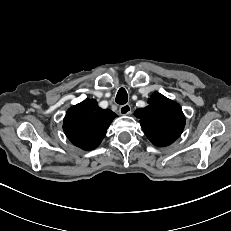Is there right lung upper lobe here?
<instances>
[{
	"label": "right lung upper lobe",
	"instance_id": "obj_1",
	"mask_svg": "<svg viewBox=\"0 0 231 231\" xmlns=\"http://www.w3.org/2000/svg\"><path fill=\"white\" fill-rule=\"evenodd\" d=\"M116 114L98 107L96 100L85 101L68 109L63 130L77 147L89 151L98 147Z\"/></svg>",
	"mask_w": 231,
	"mask_h": 231
}]
</instances>
